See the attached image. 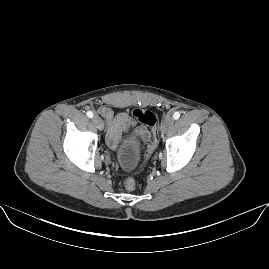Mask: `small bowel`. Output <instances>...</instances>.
Returning a JSON list of instances; mask_svg holds the SVG:
<instances>
[{"label":"small bowel","instance_id":"small-bowel-1","mask_svg":"<svg viewBox=\"0 0 269 269\" xmlns=\"http://www.w3.org/2000/svg\"><path fill=\"white\" fill-rule=\"evenodd\" d=\"M99 111L109 120V127L107 132V141L111 147H115L122 134L133 128L140 136L143 145L146 144L148 131L142 126H136L131 122L129 116L125 112H121L117 115L113 114V111L109 107H101Z\"/></svg>","mask_w":269,"mask_h":269}]
</instances>
